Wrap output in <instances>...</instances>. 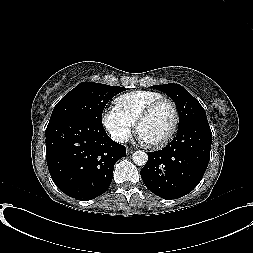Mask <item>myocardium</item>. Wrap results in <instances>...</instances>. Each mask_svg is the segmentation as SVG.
<instances>
[{
    "mask_svg": "<svg viewBox=\"0 0 253 253\" xmlns=\"http://www.w3.org/2000/svg\"><path fill=\"white\" fill-rule=\"evenodd\" d=\"M168 104L173 111L174 114V121H173V125L170 129V131L168 132V134L161 139L158 142L155 143H149V145L153 148H161L164 147L165 145H167L176 135V132L178 130L179 127V123H180V114H179V110L177 105L175 104L174 101H172L169 98H160L157 100H154L153 102L149 103L138 115L137 120H136V131L139 132V128L141 123L160 105L162 104Z\"/></svg>",
    "mask_w": 253,
    "mask_h": 253,
    "instance_id": "f54148a6",
    "label": "myocardium"
}]
</instances>
